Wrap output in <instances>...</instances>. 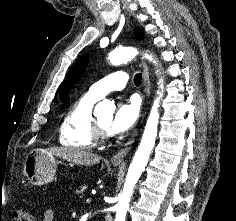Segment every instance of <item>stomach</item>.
Here are the masks:
<instances>
[{
  "mask_svg": "<svg viewBox=\"0 0 236 221\" xmlns=\"http://www.w3.org/2000/svg\"><path fill=\"white\" fill-rule=\"evenodd\" d=\"M57 160L45 150L36 149L30 152L24 162L23 174L34 185L50 182L56 173ZM118 166V164H114Z\"/></svg>",
  "mask_w": 236,
  "mask_h": 221,
  "instance_id": "1",
  "label": "stomach"
}]
</instances>
